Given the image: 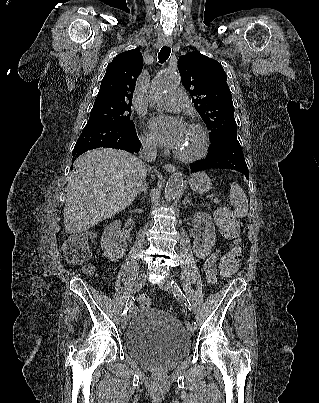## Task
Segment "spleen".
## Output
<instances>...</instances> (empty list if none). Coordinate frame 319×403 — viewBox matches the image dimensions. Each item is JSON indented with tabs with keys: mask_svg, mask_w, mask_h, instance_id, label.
I'll list each match as a JSON object with an SVG mask.
<instances>
[{
	"mask_svg": "<svg viewBox=\"0 0 319 403\" xmlns=\"http://www.w3.org/2000/svg\"><path fill=\"white\" fill-rule=\"evenodd\" d=\"M230 202L235 206V216L246 217L248 214V200L243 189L235 182L230 185Z\"/></svg>",
	"mask_w": 319,
	"mask_h": 403,
	"instance_id": "1",
	"label": "spleen"
}]
</instances>
